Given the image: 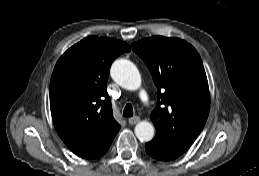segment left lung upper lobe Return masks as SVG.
Returning a JSON list of instances; mask_svg holds the SVG:
<instances>
[{
    "label": "left lung upper lobe",
    "mask_w": 259,
    "mask_h": 176,
    "mask_svg": "<svg viewBox=\"0 0 259 176\" xmlns=\"http://www.w3.org/2000/svg\"><path fill=\"white\" fill-rule=\"evenodd\" d=\"M148 66L158 89L151 113L154 148L179 157L204 127L210 107L208 81L195 48L179 38L155 36L131 45Z\"/></svg>",
    "instance_id": "left-lung-upper-lobe-1"
}]
</instances>
